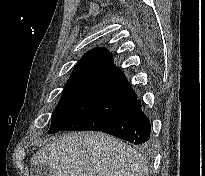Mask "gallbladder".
Here are the masks:
<instances>
[{"mask_svg":"<svg viewBox=\"0 0 205 176\" xmlns=\"http://www.w3.org/2000/svg\"><path fill=\"white\" fill-rule=\"evenodd\" d=\"M30 176H53L52 169L46 164H34L31 166Z\"/></svg>","mask_w":205,"mask_h":176,"instance_id":"obj_1","label":"gallbladder"}]
</instances>
